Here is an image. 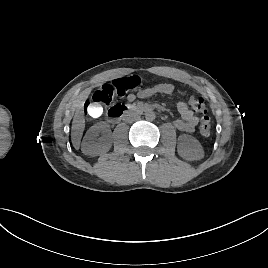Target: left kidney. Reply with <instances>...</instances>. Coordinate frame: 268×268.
<instances>
[{"label": "left kidney", "mask_w": 268, "mask_h": 268, "mask_svg": "<svg viewBox=\"0 0 268 268\" xmlns=\"http://www.w3.org/2000/svg\"><path fill=\"white\" fill-rule=\"evenodd\" d=\"M177 151L185 160H200L204 157V150L200 142L191 135L182 134L178 137Z\"/></svg>", "instance_id": "left-kidney-1"}]
</instances>
